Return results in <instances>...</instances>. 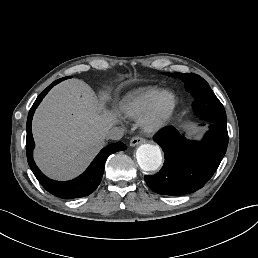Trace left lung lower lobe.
<instances>
[{
	"label": "left lung lower lobe",
	"mask_w": 258,
	"mask_h": 258,
	"mask_svg": "<svg viewBox=\"0 0 258 258\" xmlns=\"http://www.w3.org/2000/svg\"><path fill=\"white\" fill-rule=\"evenodd\" d=\"M193 104L201 112L199 118L210 123L209 131L201 141H190L169 126L154 137L165 153V161L157 174L144 179L158 194L178 196L202 188L226 153L228 132L226 122L219 119L223 114L221 102L208 95L195 98Z\"/></svg>",
	"instance_id": "obj_1"
}]
</instances>
